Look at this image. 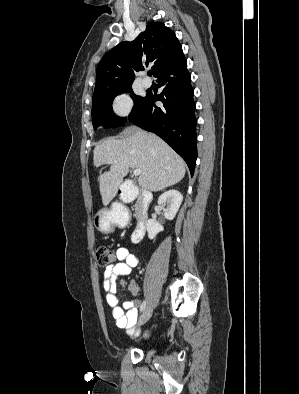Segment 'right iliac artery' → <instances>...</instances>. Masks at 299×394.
Here are the masks:
<instances>
[{"mask_svg": "<svg viewBox=\"0 0 299 394\" xmlns=\"http://www.w3.org/2000/svg\"><path fill=\"white\" fill-rule=\"evenodd\" d=\"M146 304H147V302H146V300H144L140 306V312L144 311V309L146 308Z\"/></svg>", "mask_w": 299, "mask_h": 394, "instance_id": "82829eb1", "label": "right iliac artery"}]
</instances>
